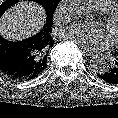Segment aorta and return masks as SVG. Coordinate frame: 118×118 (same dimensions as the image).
<instances>
[{
	"label": "aorta",
	"instance_id": "762f6f07",
	"mask_svg": "<svg viewBox=\"0 0 118 118\" xmlns=\"http://www.w3.org/2000/svg\"><path fill=\"white\" fill-rule=\"evenodd\" d=\"M68 12L75 19L87 21L90 18L86 0H69ZM89 67L94 73H103L107 69V64L103 58L96 57L90 61Z\"/></svg>",
	"mask_w": 118,
	"mask_h": 118
}]
</instances>
